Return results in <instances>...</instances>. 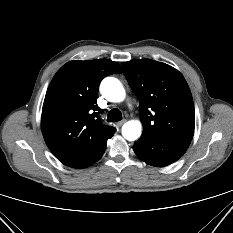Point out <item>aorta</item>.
Segmentation results:
<instances>
[{
    "instance_id": "obj_1",
    "label": "aorta",
    "mask_w": 233,
    "mask_h": 233,
    "mask_svg": "<svg viewBox=\"0 0 233 233\" xmlns=\"http://www.w3.org/2000/svg\"><path fill=\"white\" fill-rule=\"evenodd\" d=\"M102 95L110 102H121L125 98V90L121 82L114 77H106L100 85ZM142 125L138 120L125 123L122 127V135L129 141H134L141 136Z\"/></svg>"
}]
</instances>
